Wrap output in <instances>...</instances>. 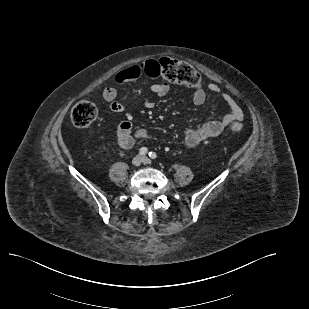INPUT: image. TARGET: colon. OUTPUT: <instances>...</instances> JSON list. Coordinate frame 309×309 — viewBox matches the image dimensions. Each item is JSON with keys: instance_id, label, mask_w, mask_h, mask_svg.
Here are the masks:
<instances>
[{"instance_id": "obj_1", "label": "colon", "mask_w": 309, "mask_h": 309, "mask_svg": "<svg viewBox=\"0 0 309 309\" xmlns=\"http://www.w3.org/2000/svg\"><path fill=\"white\" fill-rule=\"evenodd\" d=\"M149 64L156 67L158 74L164 79L186 87H196L200 84L199 72L184 61L173 58H161L158 61H149ZM72 123L80 128L89 126L97 117L96 106L88 101H80L71 110ZM243 126L239 122L231 125V130L240 132Z\"/></svg>"}]
</instances>
